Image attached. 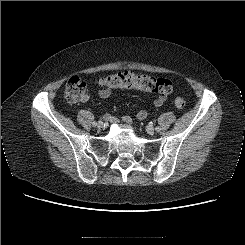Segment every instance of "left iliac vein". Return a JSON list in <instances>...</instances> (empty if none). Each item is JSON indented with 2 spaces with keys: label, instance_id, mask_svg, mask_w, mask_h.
Instances as JSON below:
<instances>
[{
  "label": "left iliac vein",
  "instance_id": "1",
  "mask_svg": "<svg viewBox=\"0 0 245 245\" xmlns=\"http://www.w3.org/2000/svg\"><path fill=\"white\" fill-rule=\"evenodd\" d=\"M146 131L149 134H154L155 133V129L152 126H147L146 127Z\"/></svg>",
  "mask_w": 245,
  "mask_h": 245
}]
</instances>
